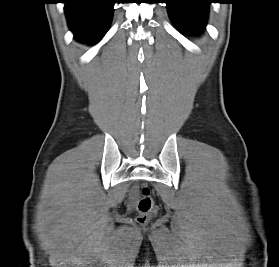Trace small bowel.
<instances>
[{"mask_svg": "<svg viewBox=\"0 0 279 267\" xmlns=\"http://www.w3.org/2000/svg\"><path fill=\"white\" fill-rule=\"evenodd\" d=\"M131 199H132V200H135V199H136V193H135V192L132 193Z\"/></svg>", "mask_w": 279, "mask_h": 267, "instance_id": "c3829d8e", "label": "small bowel"}]
</instances>
